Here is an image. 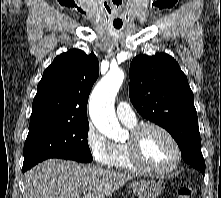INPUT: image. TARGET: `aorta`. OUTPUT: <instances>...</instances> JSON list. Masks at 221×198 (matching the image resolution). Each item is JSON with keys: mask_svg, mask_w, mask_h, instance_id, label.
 <instances>
[{"mask_svg": "<svg viewBox=\"0 0 221 198\" xmlns=\"http://www.w3.org/2000/svg\"><path fill=\"white\" fill-rule=\"evenodd\" d=\"M125 78L119 69L110 70L95 86L89 101V114L94 126L108 138L125 136L115 115L114 100Z\"/></svg>", "mask_w": 221, "mask_h": 198, "instance_id": "762f6f07", "label": "aorta"}]
</instances>
